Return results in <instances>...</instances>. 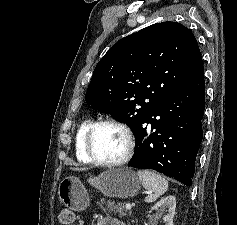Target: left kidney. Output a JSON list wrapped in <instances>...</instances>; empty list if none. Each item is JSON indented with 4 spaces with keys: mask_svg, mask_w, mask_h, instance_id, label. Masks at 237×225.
I'll return each mask as SVG.
<instances>
[{
    "mask_svg": "<svg viewBox=\"0 0 237 225\" xmlns=\"http://www.w3.org/2000/svg\"><path fill=\"white\" fill-rule=\"evenodd\" d=\"M175 208H176V199L174 196L170 195L157 202L152 209L158 210L160 214L166 210L167 215L163 217L165 225H173Z\"/></svg>",
    "mask_w": 237,
    "mask_h": 225,
    "instance_id": "left-kidney-1",
    "label": "left kidney"
}]
</instances>
